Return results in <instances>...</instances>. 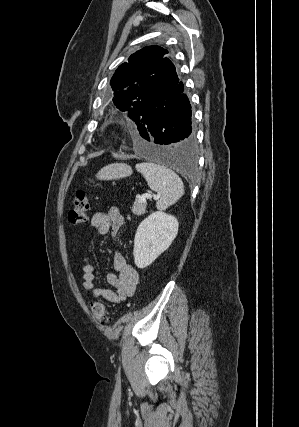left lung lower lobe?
I'll return each instance as SVG.
<instances>
[{"mask_svg": "<svg viewBox=\"0 0 299 427\" xmlns=\"http://www.w3.org/2000/svg\"><path fill=\"white\" fill-rule=\"evenodd\" d=\"M183 83L166 92L162 99L142 108L135 121L139 134L150 143L139 149L153 160L189 172L196 150L191 123V105L183 93Z\"/></svg>", "mask_w": 299, "mask_h": 427, "instance_id": "1", "label": "left lung lower lobe"}]
</instances>
